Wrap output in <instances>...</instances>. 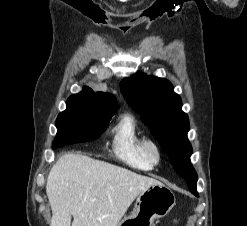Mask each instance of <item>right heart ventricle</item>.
<instances>
[{"mask_svg":"<svg viewBox=\"0 0 247 226\" xmlns=\"http://www.w3.org/2000/svg\"><path fill=\"white\" fill-rule=\"evenodd\" d=\"M112 132V149L118 159L135 169L152 168L153 165L146 159L143 151L145 139L133 116H122Z\"/></svg>","mask_w":247,"mask_h":226,"instance_id":"e07e8e85","label":"right heart ventricle"}]
</instances>
